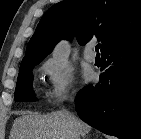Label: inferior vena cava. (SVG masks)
<instances>
[{
	"mask_svg": "<svg viewBox=\"0 0 141 139\" xmlns=\"http://www.w3.org/2000/svg\"><path fill=\"white\" fill-rule=\"evenodd\" d=\"M68 113V115H69V117L70 118H72V119H74V116H73V114H71V113H69V112H67ZM75 139H79V137H78V135L76 134L75 135V137H74Z\"/></svg>",
	"mask_w": 141,
	"mask_h": 139,
	"instance_id": "1",
	"label": "inferior vena cava"
}]
</instances>
